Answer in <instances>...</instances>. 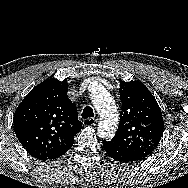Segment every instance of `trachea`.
I'll list each match as a JSON object with an SVG mask.
<instances>
[{
	"mask_svg": "<svg viewBox=\"0 0 188 188\" xmlns=\"http://www.w3.org/2000/svg\"><path fill=\"white\" fill-rule=\"evenodd\" d=\"M81 115H82V118H91V117H94L93 109L90 106H86L83 109V112H82Z\"/></svg>",
	"mask_w": 188,
	"mask_h": 188,
	"instance_id": "1",
	"label": "trachea"
}]
</instances>
